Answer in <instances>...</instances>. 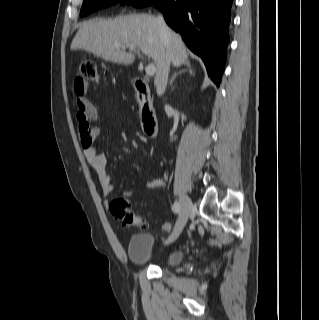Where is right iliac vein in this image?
Here are the masks:
<instances>
[{
	"mask_svg": "<svg viewBox=\"0 0 319 320\" xmlns=\"http://www.w3.org/2000/svg\"><path fill=\"white\" fill-rule=\"evenodd\" d=\"M180 206H181V212L180 216L178 218V221L175 225L174 231L169 237L167 243L173 242L177 239V237L180 235L182 230L184 229L187 220L189 218V215L191 211L193 210V204L190 198L186 195L180 196Z\"/></svg>",
	"mask_w": 319,
	"mask_h": 320,
	"instance_id": "right-iliac-vein-1",
	"label": "right iliac vein"
}]
</instances>
